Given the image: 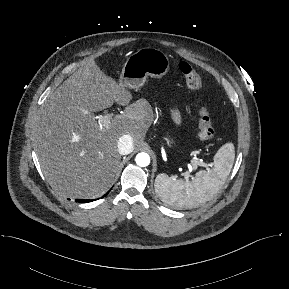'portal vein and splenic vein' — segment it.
I'll return each instance as SVG.
<instances>
[{"mask_svg":"<svg viewBox=\"0 0 289 289\" xmlns=\"http://www.w3.org/2000/svg\"><path fill=\"white\" fill-rule=\"evenodd\" d=\"M113 115H114V113H107V114H105L103 116H100L99 117L100 124L105 126V127H107L110 124ZM192 166H193V169H196L197 166L206 167L208 169L209 166H211V164H207V163L203 162L202 160H193L192 161ZM191 171H192V169L185 173V178L186 179H188L190 177V172Z\"/></svg>","mask_w":289,"mask_h":289,"instance_id":"1","label":"portal vein and splenic vein"}]
</instances>
